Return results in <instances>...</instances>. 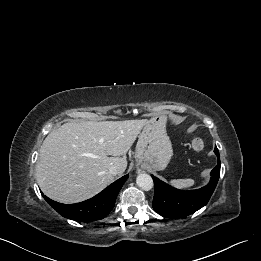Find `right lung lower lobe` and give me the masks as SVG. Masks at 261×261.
Returning a JSON list of instances; mask_svg holds the SVG:
<instances>
[{
	"label": "right lung lower lobe",
	"instance_id": "obj_1",
	"mask_svg": "<svg viewBox=\"0 0 261 261\" xmlns=\"http://www.w3.org/2000/svg\"><path fill=\"white\" fill-rule=\"evenodd\" d=\"M127 178L128 175L121 177L98 195L77 204H62L49 199L45 195L43 197L50 206L65 218L80 222L95 221L106 217L113 209L117 195Z\"/></svg>",
	"mask_w": 261,
	"mask_h": 261
}]
</instances>
